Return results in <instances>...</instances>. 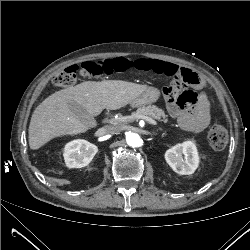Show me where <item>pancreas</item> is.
I'll return each instance as SVG.
<instances>
[{
    "instance_id": "pancreas-1",
    "label": "pancreas",
    "mask_w": 250,
    "mask_h": 250,
    "mask_svg": "<svg viewBox=\"0 0 250 250\" xmlns=\"http://www.w3.org/2000/svg\"><path fill=\"white\" fill-rule=\"evenodd\" d=\"M149 113L157 115L159 117V119H162V121H164V122L168 121V115L162 109H159L155 105H149V106H146V107L143 106V107L138 108L136 110V112H134L132 114V118H130V119L119 118V119H115L114 122L116 124L121 125V124H124L126 122L133 121L135 119H139V116L147 115Z\"/></svg>"
}]
</instances>
